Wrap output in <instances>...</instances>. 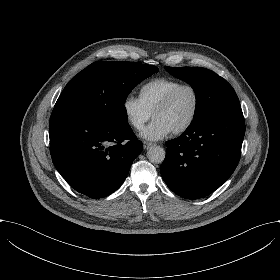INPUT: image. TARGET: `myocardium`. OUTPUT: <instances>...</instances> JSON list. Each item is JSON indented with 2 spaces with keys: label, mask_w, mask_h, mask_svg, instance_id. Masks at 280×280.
<instances>
[{
  "label": "myocardium",
  "mask_w": 280,
  "mask_h": 280,
  "mask_svg": "<svg viewBox=\"0 0 280 280\" xmlns=\"http://www.w3.org/2000/svg\"><path fill=\"white\" fill-rule=\"evenodd\" d=\"M185 88H190L193 90L194 94H195V99H196V103H195V108L193 111V114L191 116V118L182 126L176 128L174 130V133L176 134H181L184 133L186 131H188L197 121L199 113H200V109H201V102H202V97H201V92L199 90V88L193 84V83H181L179 86H177L173 91H171L155 108L153 115L155 116L158 112H160L161 110L169 107L173 100L176 98V96L178 95V93L185 89Z\"/></svg>",
  "instance_id": "1"
}]
</instances>
